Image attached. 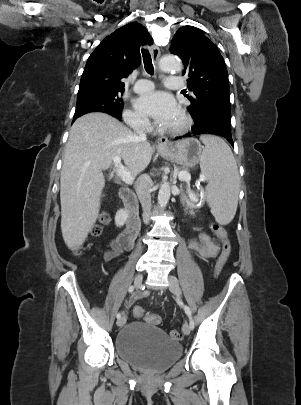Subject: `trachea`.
<instances>
[{"label":"trachea","instance_id":"trachea-1","mask_svg":"<svg viewBox=\"0 0 301 405\" xmlns=\"http://www.w3.org/2000/svg\"><path fill=\"white\" fill-rule=\"evenodd\" d=\"M142 57H143V62H144V67L147 73L149 74H153L154 71V67L152 64V58L151 55L149 53V51L147 49H142Z\"/></svg>","mask_w":301,"mask_h":405}]
</instances>
